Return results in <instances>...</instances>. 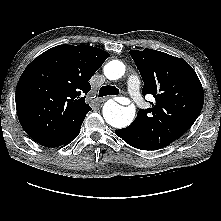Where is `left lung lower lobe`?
<instances>
[{"label": "left lung lower lobe", "mask_w": 221, "mask_h": 221, "mask_svg": "<svg viewBox=\"0 0 221 221\" xmlns=\"http://www.w3.org/2000/svg\"><path fill=\"white\" fill-rule=\"evenodd\" d=\"M116 134L132 147L138 148L135 144V132L133 131L132 127L128 126L123 129H118Z\"/></svg>", "instance_id": "0a47b994"}]
</instances>
